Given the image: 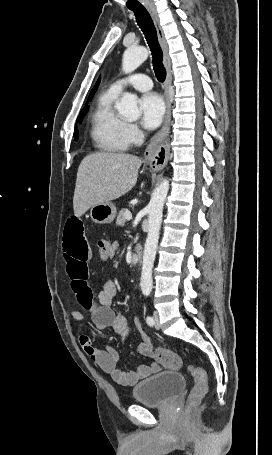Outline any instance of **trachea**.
I'll return each instance as SVG.
<instances>
[{
  "mask_svg": "<svg viewBox=\"0 0 272 455\" xmlns=\"http://www.w3.org/2000/svg\"><path fill=\"white\" fill-rule=\"evenodd\" d=\"M131 10L134 12L136 21L145 35L146 41L150 47L153 58V70L156 78L158 81L164 82L166 79V69L162 63L163 53L158 43L157 31L154 23L148 11L143 6L131 8Z\"/></svg>",
  "mask_w": 272,
  "mask_h": 455,
  "instance_id": "3493384b",
  "label": "trachea"
}]
</instances>
